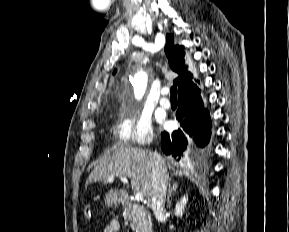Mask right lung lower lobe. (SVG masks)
I'll use <instances>...</instances> for the list:
<instances>
[{
    "mask_svg": "<svg viewBox=\"0 0 289 232\" xmlns=\"http://www.w3.org/2000/svg\"><path fill=\"white\" fill-rule=\"evenodd\" d=\"M199 93L200 90H195L179 97L176 118L183 131L177 130L170 134L163 132L161 146L166 155L179 156L180 159L191 140L199 147H204L209 143L211 120L208 110L204 109Z\"/></svg>",
    "mask_w": 289,
    "mask_h": 232,
    "instance_id": "1",
    "label": "right lung lower lobe"
}]
</instances>
